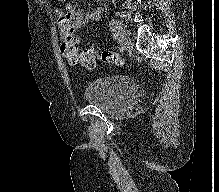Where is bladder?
Here are the masks:
<instances>
[{
	"label": "bladder",
	"mask_w": 219,
	"mask_h": 192,
	"mask_svg": "<svg viewBox=\"0 0 219 192\" xmlns=\"http://www.w3.org/2000/svg\"><path fill=\"white\" fill-rule=\"evenodd\" d=\"M138 96L135 82L122 76L95 79L83 88V99L108 115L128 111Z\"/></svg>",
	"instance_id": "1"
}]
</instances>
